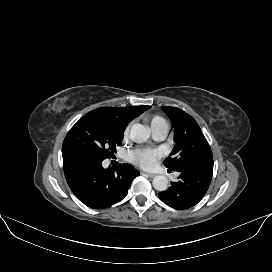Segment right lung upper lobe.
<instances>
[{
    "label": "right lung upper lobe",
    "instance_id": "obj_1",
    "mask_svg": "<svg viewBox=\"0 0 272 272\" xmlns=\"http://www.w3.org/2000/svg\"><path fill=\"white\" fill-rule=\"evenodd\" d=\"M149 108L150 106L145 105L132 107H101L94 111L113 116L126 127L132 119L139 116Z\"/></svg>",
    "mask_w": 272,
    "mask_h": 272
}]
</instances>
